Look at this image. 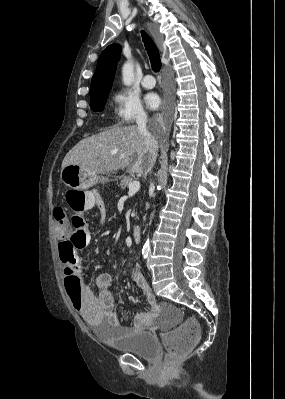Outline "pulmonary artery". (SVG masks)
I'll list each match as a JSON object with an SVG mask.
<instances>
[{
	"mask_svg": "<svg viewBox=\"0 0 285 399\" xmlns=\"http://www.w3.org/2000/svg\"><path fill=\"white\" fill-rule=\"evenodd\" d=\"M141 84L145 88H148V89L153 88L155 86V79H154L153 75L150 72H147L144 75V77L141 81Z\"/></svg>",
	"mask_w": 285,
	"mask_h": 399,
	"instance_id": "obj_1",
	"label": "pulmonary artery"
}]
</instances>
